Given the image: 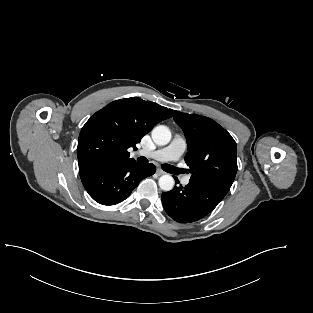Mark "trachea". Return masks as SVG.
Listing matches in <instances>:
<instances>
[{
  "instance_id": "obj_1",
  "label": "trachea",
  "mask_w": 313,
  "mask_h": 313,
  "mask_svg": "<svg viewBox=\"0 0 313 313\" xmlns=\"http://www.w3.org/2000/svg\"><path fill=\"white\" fill-rule=\"evenodd\" d=\"M137 162L141 163V164H146V163H148V159L143 157V156H141V157H139L137 159ZM162 168H163L164 171L169 172V173H172L175 170L174 166H171V165H168V164L162 165Z\"/></svg>"
}]
</instances>
